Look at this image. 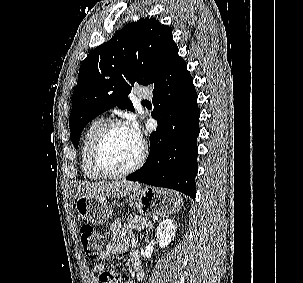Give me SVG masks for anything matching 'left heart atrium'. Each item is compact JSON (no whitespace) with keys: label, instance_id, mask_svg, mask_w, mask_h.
Here are the masks:
<instances>
[{"label":"left heart atrium","instance_id":"1","mask_svg":"<svg viewBox=\"0 0 303 283\" xmlns=\"http://www.w3.org/2000/svg\"><path fill=\"white\" fill-rule=\"evenodd\" d=\"M128 128H129L131 134L133 135V137L135 138V140L141 144L142 133H141L138 123L133 121Z\"/></svg>","mask_w":303,"mask_h":283}]
</instances>
